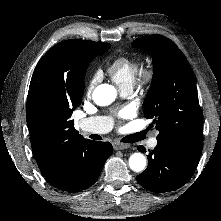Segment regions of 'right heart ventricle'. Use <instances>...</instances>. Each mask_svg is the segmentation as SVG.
Instances as JSON below:
<instances>
[{
  "instance_id": "e07e8e85",
  "label": "right heart ventricle",
  "mask_w": 221,
  "mask_h": 221,
  "mask_svg": "<svg viewBox=\"0 0 221 221\" xmlns=\"http://www.w3.org/2000/svg\"><path fill=\"white\" fill-rule=\"evenodd\" d=\"M139 68L140 62L138 58L130 55H120L108 64L107 72L121 89L126 87L132 88Z\"/></svg>"
}]
</instances>
